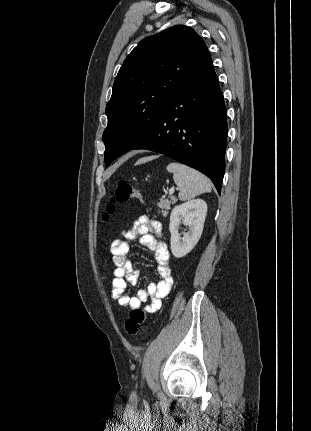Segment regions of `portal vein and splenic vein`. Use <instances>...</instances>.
<instances>
[{
    "mask_svg": "<svg viewBox=\"0 0 311 431\" xmlns=\"http://www.w3.org/2000/svg\"><path fill=\"white\" fill-rule=\"evenodd\" d=\"M174 192H175V188H170L169 196H173Z\"/></svg>",
    "mask_w": 311,
    "mask_h": 431,
    "instance_id": "portal-vein-and-splenic-vein-1",
    "label": "portal vein and splenic vein"
}]
</instances>
